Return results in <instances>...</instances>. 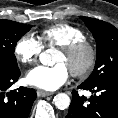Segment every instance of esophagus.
<instances>
[{"instance_id":"1","label":"esophagus","mask_w":118,"mask_h":118,"mask_svg":"<svg viewBox=\"0 0 118 118\" xmlns=\"http://www.w3.org/2000/svg\"><path fill=\"white\" fill-rule=\"evenodd\" d=\"M37 95L39 97H46V96L53 95V93L52 92L43 91V90H38L37 91Z\"/></svg>"}]
</instances>
